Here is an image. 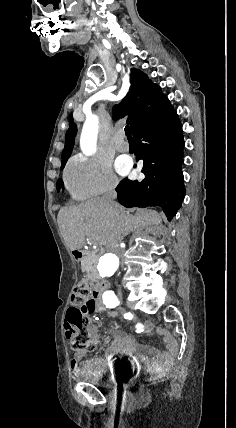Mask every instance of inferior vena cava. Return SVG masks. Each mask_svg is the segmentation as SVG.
<instances>
[{"label":"inferior vena cava","instance_id":"inferior-vena-cava-1","mask_svg":"<svg viewBox=\"0 0 236 428\" xmlns=\"http://www.w3.org/2000/svg\"><path fill=\"white\" fill-rule=\"evenodd\" d=\"M116 184L117 180H111L109 186H107V194L105 196L106 204L108 208H111V210H115L116 206H118V204H115V202H113V200L117 198V194L115 192ZM112 239L116 242L119 238L115 235ZM112 246L114 249H110L111 252H113L116 256H119L122 260V258L125 257V249H116L115 243H112ZM121 267H124V264H121ZM118 292L122 293L123 291L120 289Z\"/></svg>","mask_w":236,"mask_h":428}]
</instances>
